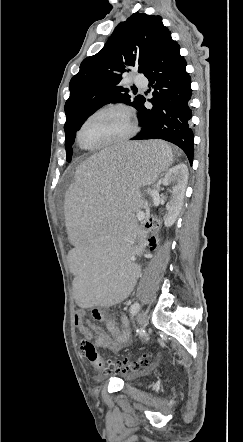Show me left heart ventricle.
<instances>
[{
    "instance_id": "b2bd125f",
    "label": "left heart ventricle",
    "mask_w": 243,
    "mask_h": 442,
    "mask_svg": "<svg viewBox=\"0 0 243 442\" xmlns=\"http://www.w3.org/2000/svg\"><path fill=\"white\" fill-rule=\"evenodd\" d=\"M129 130L127 116L111 111L91 119L83 128L81 139L89 146H96L123 136Z\"/></svg>"
}]
</instances>
